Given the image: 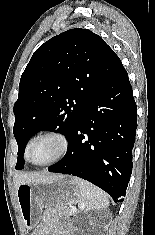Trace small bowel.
<instances>
[{
    "label": "small bowel",
    "mask_w": 155,
    "mask_h": 235,
    "mask_svg": "<svg viewBox=\"0 0 155 235\" xmlns=\"http://www.w3.org/2000/svg\"><path fill=\"white\" fill-rule=\"evenodd\" d=\"M34 235H70L67 218L54 210L46 212Z\"/></svg>",
    "instance_id": "1"
}]
</instances>
